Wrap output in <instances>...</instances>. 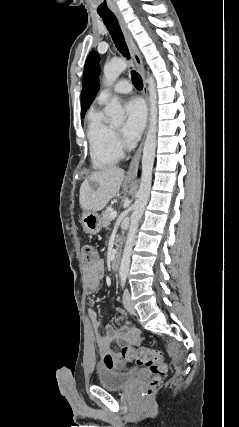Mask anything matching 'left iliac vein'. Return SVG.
<instances>
[{
    "label": "left iliac vein",
    "mask_w": 239,
    "mask_h": 427,
    "mask_svg": "<svg viewBox=\"0 0 239 427\" xmlns=\"http://www.w3.org/2000/svg\"><path fill=\"white\" fill-rule=\"evenodd\" d=\"M123 304H124V307L126 308V310L130 314L134 315L136 313L134 305H133L132 300H131L130 293L127 289L124 291V294H123Z\"/></svg>",
    "instance_id": "1"
}]
</instances>
